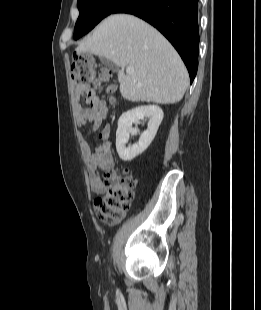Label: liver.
Instances as JSON below:
<instances>
[{"mask_svg": "<svg viewBox=\"0 0 261 310\" xmlns=\"http://www.w3.org/2000/svg\"><path fill=\"white\" fill-rule=\"evenodd\" d=\"M118 65L120 93L132 102L174 104L188 87L189 75L167 39L145 21L128 14L110 15L76 48ZM133 73L125 74V67Z\"/></svg>", "mask_w": 261, "mask_h": 310, "instance_id": "obj_1", "label": "liver"}]
</instances>
